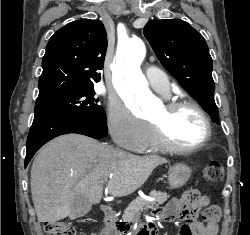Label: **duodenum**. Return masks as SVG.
Instances as JSON below:
<instances>
[{"instance_id":"duodenum-1","label":"duodenum","mask_w":250,"mask_h":235,"mask_svg":"<svg viewBox=\"0 0 250 235\" xmlns=\"http://www.w3.org/2000/svg\"><path fill=\"white\" fill-rule=\"evenodd\" d=\"M101 211L104 217V227L100 235H128L131 228L126 226L124 222L116 219L113 210L107 205H101ZM137 235H155L156 228L154 224H147L143 229L139 230Z\"/></svg>"}]
</instances>
